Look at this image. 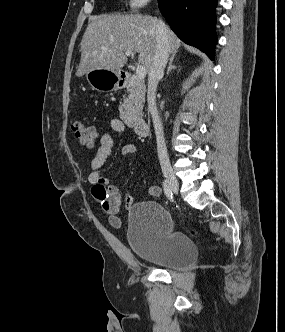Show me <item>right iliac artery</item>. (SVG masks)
Instances as JSON below:
<instances>
[{
    "instance_id": "obj_1",
    "label": "right iliac artery",
    "mask_w": 285,
    "mask_h": 332,
    "mask_svg": "<svg viewBox=\"0 0 285 332\" xmlns=\"http://www.w3.org/2000/svg\"><path fill=\"white\" fill-rule=\"evenodd\" d=\"M163 188H164V193H165L166 197L169 200H172L173 199V194H172V191L169 187V183H168L167 179H164V181H163Z\"/></svg>"
}]
</instances>
